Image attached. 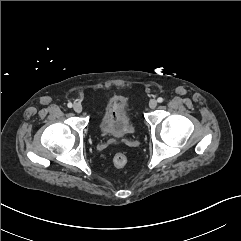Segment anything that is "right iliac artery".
Instances as JSON below:
<instances>
[{
    "instance_id": "82829eb1",
    "label": "right iliac artery",
    "mask_w": 241,
    "mask_h": 241,
    "mask_svg": "<svg viewBox=\"0 0 241 241\" xmlns=\"http://www.w3.org/2000/svg\"><path fill=\"white\" fill-rule=\"evenodd\" d=\"M67 106L69 107V108H72V103L71 102H69L68 104H67Z\"/></svg>"
}]
</instances>
